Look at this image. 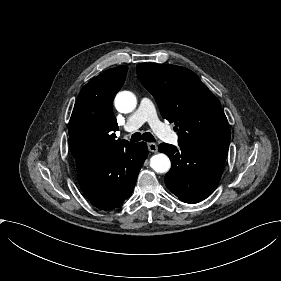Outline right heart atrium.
<instances>
[{
    "label": "right heart atrium",
    "instance_id": "right-heart-atrium-1",
    "mask_svg": "<svg viewBox=\"0 0 281 281\" xmlns=\"http://www.w3.org/2000/svg\"><path fill=\"white\" fill-rule=\"evenodd\" d=\"M115 105L122 107L123 109H128L130 105V96L124 92H119L115 97Z\"/></svg>",
    "mask_w": 281,
    "mask_h": 281
}]
</instances>
